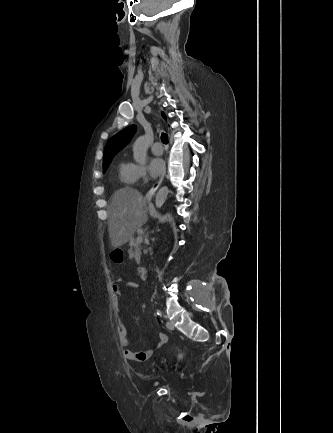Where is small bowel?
<instances>
[{
	"mask_svg": "<svg viewBox=\"0 0 333 433\" xmlns=\"http://www.w3.org/2000/svg\"><path fill=\"white\" fill-rule=\"evenodd\" d=\"M124 287L132 289L138 287V284L136 282H124L120 278H117L112 282V289L115 296L114 308L117 315L121 314L120 297H123L126 294L124 291ZM118 331L120 344L124 347L123 355L127 360L130 361L140 362L149 360L154 355V353L159 348H161L168 340L167 336L164 333H158L157 341L153 346L141 352H134L128 348V346L130 345L129 334L127 328L122 322H120L118 325Z\"/></svg>",
	"mask_w": 333,
	"mask_h": 433,
	"instance_id": "small-bowel-1",
	"label": "small bowel"
}]
</instances>
